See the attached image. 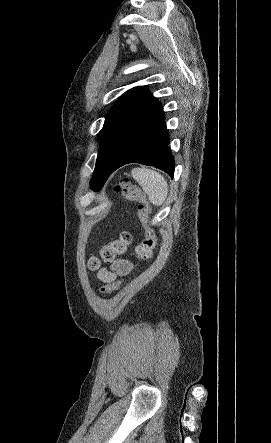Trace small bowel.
I'll list each match as a JSON object with an SVG mask.
<instances>
[{
	"label": "small bowel",
	"instance_id": "small-bowel-1",
	"mask_svg": "<svg viewBox=\"0 0 271 443\" xmlns=\"http://www.w3.org/2000/svg\"><path fill=\"white\" fill-rule=\"evenodd\" d=\"M132 269V263L128 260L119 259L113 262L110 270L102 269L98 272L97 277L104 283H110L115 280L117 275H125Z\"/></svg>",
	"mask_w": 271,
	"mask_h": 443
}]
</instances>
